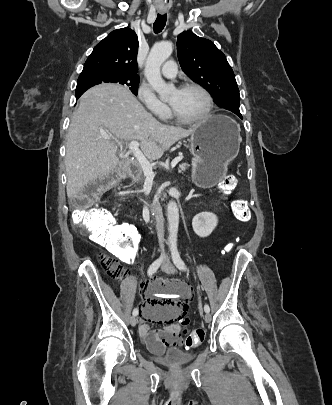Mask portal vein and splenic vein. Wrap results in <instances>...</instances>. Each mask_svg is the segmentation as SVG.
<instances>
[{
  "label": "portal vein and splenic vein",
  "instance_id": "18ae733b",
  "mask_svg": "<svg viewBox=\"0 0 332 405\" xmlns=\"http://www.w3.org/2000/svg\"><path fill=\"white\" fill-rule=\"evenodd\" d=\"M106 139H110L111 137L109 135L104 136ZM116 142L118 140L115 139ZM128 148L130 152L135 156L137 161L142 167L143 173L148 179H153L155 176V173L153 172L152 164L146 159V157L143 155V153L140 151L139 146L140 143L138 141H132L128 143ZM182 160V157H177L171 162V167H174L178 162Z\"/></svg>",
  "mask_w": 332,
  "mask_h": 405
}]
</instances>
